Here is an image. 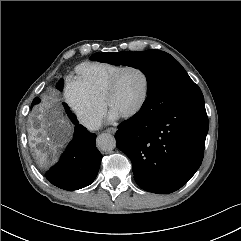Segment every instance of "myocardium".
<instances>
[{
	"mask_svg": "<svg viewBox=\"0 0 241 241\" xmlns=\"http://www.w3.org/2000/svg\"><path fill=\"white\" fill-rule=\"evenodd\" d=\"M130 69L138 70L143 75L145 84H144V92H143V95H142L139 103L137 104V106L134 109H132L128 113L121 116L124 119H129V118H132V117L138 115L142 111V109L144 108V106L146 105V102L148 100L149 93H150V78H149L147 71L144 68H142L138 65L122 66L111 77L110 81L108 82V85L106 87L105 94H104V101H103L105 107L109 108V102H110L111 96L113 95V93L115 91L118 79L120 78V76L122 75L123 72L130 70Z\"/></svg>",
	"mask_w": 241,
	"mask_h": 241,
	"instance_id": "myocardium-1",
	"label": "myocardium"
}]
</instances>
